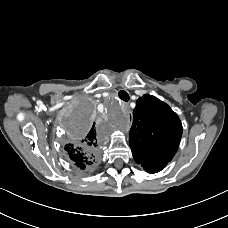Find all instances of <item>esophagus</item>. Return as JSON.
Returning <instances> with one entry per match:
<instances>
[{"instance_id": "obj_1", "label": "esophagus", "mask_w": 228, "mask_h": 228, "mask_svg": "<svg viewBox=\"0 0 228 228\" xmlns=\"http://www.w3.org/2000/svg\"><path fill=\"white\" fill-rule=\"evenodd\" d=\"M122 106H123L124 108H127V104H126V103H123Z\"/></svg>"}]
</instances>
